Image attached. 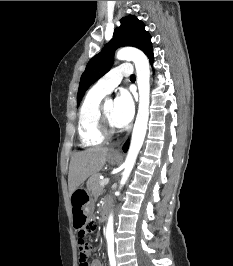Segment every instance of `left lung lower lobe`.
<instances>
[{
  "instance_id": "0a47b994",
  "label": "left lung lower lobe",
  "mask_w": 233,
  "mask_h": 266,
  "mask_svg": "<svg viewBox=\"0 0 233 266\" xmlns=\"http://www.w3.org/2000/svg\"><path fill=\"white\" fill-rule=\"evenodd\" d=\"M147 57L149 58L150 60V63L152 64L153 63V49H150L147 53H146ZM128 149V142H126V144L124 145L123 147V150L124 151H127Z\"/></svg>"
}]
</instances>
